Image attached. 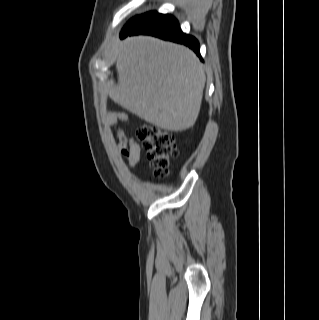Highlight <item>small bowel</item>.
Returning a JSON list of instances; mask_svg holds the SVG:
<instances>
[{"mask_svg": "<svg viewBox=\"0 0 319 320\" xmlns=\"http://www.w3.org/2000/svg\"><path fill=\"white\" fill-rule=\"evenodd\" d=\"M128 121V116L125 113H118L110 115L107 119V125L109 127L115 126L119 122ZM119 155L124 159L130 168H136L139 166L141 161V149L132 135L124 137V145L120 149Z\"/></svg>", "mask_w": 319, "mask_h": 320, "instance_id": "c3829d8e", "label": "small bowel"}]
</instances>
